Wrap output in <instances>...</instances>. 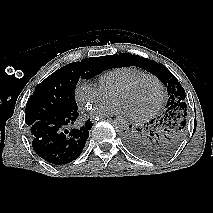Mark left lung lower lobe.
I'll return each mask as SVG.
<instances>
[{"instance_id": "1", "label": "left lung lower lobe", "mask_w": 213, "mask_h": 213, "mask_svg": "<svg viewBox=\"0 0 213 213\" xmlns=\"http://www.w3.org/2000/svg\"><path fill=\"white\" fill-rule=\"evenodd\" d=\"M158 121L159 120L147 124L144 129H134L130 125L127 131L124 130L123 140L127 148L134 154L147 158L150 152L149 139L156 133L158 125L160 124V121L159 124ZM163 121L164 120H162V123Z\"/></svg>"}]
</instances>
